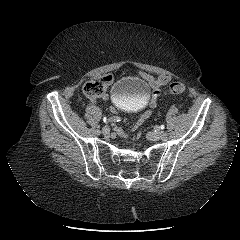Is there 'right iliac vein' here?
<instances>
[{
	"mask_svg": "<svg viewBox=\"0 0 240 240\" xmlns=\"http://www.w3.org/2000/svg\"><path fill=\"white\" fill-rule=\"evenodd\" d=\"M102 133H103L104 135H108V134L110 133V128H109L108 126H104V127L102 128Z\"/></svg>",
	"mask_w": 240,
	"mask_h": 240,
	"instance_id": "1",
	"label": "right iliac vein"
}]
</instances>
